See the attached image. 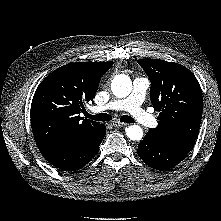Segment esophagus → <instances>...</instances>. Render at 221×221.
I'll return each mask as SVG.
<instances>
[{"label":"esophagus","mask_w":221,"mask_h":221,"mask_svg":"<svg viewBox=\"0 0 221 221\" xmlns=\"http://www.w3.org/2000/svg\"><path fill=\"white\" fill-rule=\"evenodd\" d=\"M112 125L114 126V127H124V126H126L127 125V123H123V122H120V121H113L112 122Z\"/></svg>","instance_id":"esophagus-1"}]
</instances>
